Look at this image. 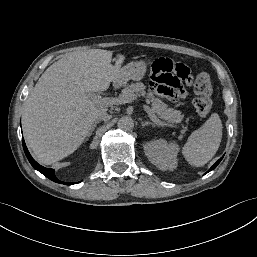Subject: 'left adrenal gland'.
<instances>
[{"label":"left adrenal gland","instance_id":"a2214340","mask_svg":"<svg viewBox=\"0 0 257 257\" xmlns=\"http://www.w3.org/2000/svg\"><path fill=\"white\" fill-rule=\"evenodd\" d=\"M141 125H142V127H145V126H148V125H151V126L155 127V124L152 123V122H149V121H145V122L142 121Z\"/></svg>","mask_w":257,"mask_h":257}]
</instances>
